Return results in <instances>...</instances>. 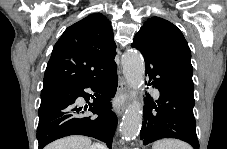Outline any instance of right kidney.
Wrapping results in <instances>:
<instances>
[{
	"label": "right kidney",
	"mask_w": 227,
	"mask_h": 149,
	"mask_svg": "<svg viewBox=\"0 0 227 149\" xmlns=\"http://www.w3.org/2000/svg\"><path fill=\"white\" fill-rule=\"evenodd\" d=\"M90 149H103V147L100 144H93Z\"/></svg>",
	"instance_id": "obj_1"
}]
</instances>
